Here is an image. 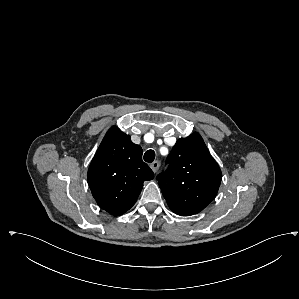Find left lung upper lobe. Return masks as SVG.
<instances>
[{
  "label": "left lung upper lobe",
  "mask_w": 299,
  "mask_h": 299,
  "mask_svg": "<svg viewBox=\"0 0 299 299\" xmlns=\"http://www.w3.org/2000/svg\"><path fill=\"white\" fill-rule=\"evenodd\" d=\"M167 163L157 180L172 211L197 214L215 198L222 173L198 133L178 139Z\"/></svg>",
  "instance_id": "left-lung-upper-lobe-1"
}]
</instances>
